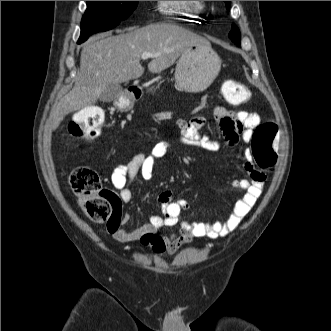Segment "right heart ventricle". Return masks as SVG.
<instances>
[{
  "label": "right heart ventricle",
  "mask_w": 331,
  "mask_h": 331,
  "mask_svg": "<svg viewBox=\"0 0 331 331\" xmlns=\"http://www.w3.org/2000/svg\"><path fill=\"white\" fill-rule=\"evenodd\" d=\"M158 9L166 15L196 20L202 11L200 1H158Z\"/></svg>",
  "instance_id": "e07e8e85"
}]
</instances>
